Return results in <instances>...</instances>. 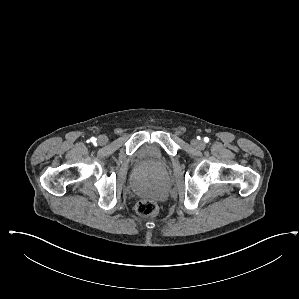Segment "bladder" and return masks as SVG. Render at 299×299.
<instances>
[{"label": "bladder", "mask_w": 299, "mask_h": 299, "mask_svg": "<svg viewBox=\"0 0 299 299\" xmlns=\"http://www.w3.org/2000/svg\"><path fill=\"white\" fill-rule=\"evenodd\" d=\"M156 148L152 145H146L138 151V157L141 160H146L155 155Z\"/></svg>", "instance_id": "1"}]
</instances>
